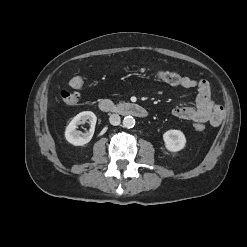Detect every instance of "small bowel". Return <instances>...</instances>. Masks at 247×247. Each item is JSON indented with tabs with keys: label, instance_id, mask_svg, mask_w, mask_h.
Wrapping results in <instances>:
<instances>
[{
	"label": "small bowel",
	"instance_id": "1",
	"mask_svg": "<svg viewBox=\"0 0 247 247\" xmlns=\"http://www.w3.org/2000/svg\"><path fill=\"white\" fill-rule=\"evenodd\" d=\"M177 86L182 89L196 88L198 93L194 106H177L172 110L175 117L200 123L208 122L215 127L221 124L224 109L213 101L208 81L185 76Z\"/></svg>",
	"mask_w": 247,
	"mask_h": 247
}]
</instances>
